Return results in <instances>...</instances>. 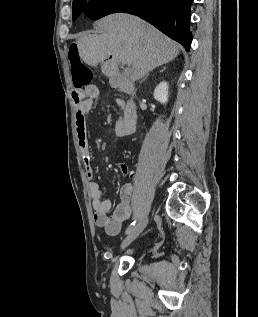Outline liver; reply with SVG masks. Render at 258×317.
<instances>
[{"mask_svg": "<svg viewBox=\"0 0 258 317\" xmlns=\"http://www.w3.org/2000/svg\"><path fill=\"white\" fill-rule=\"evenodd\" d=\"M101 34H82L76 44L80 58L96 66L109 76V82L117 80L118 64H131V80H139L149 70L173 60L180 52V44L160 30L133 14H108L94 22Z\"/></svg>", "mask_w": 258, "mask_h": 317, "instance_id": "1", "label": "liver"}]
</instances>
